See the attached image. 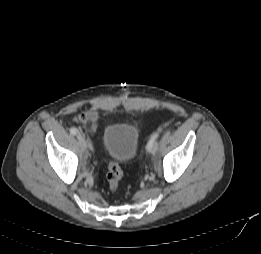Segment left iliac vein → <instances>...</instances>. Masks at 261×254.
Returning <instances> with one entry per match:
<instances>
[{
  "label": "left iliac vein",
  "mask_w": 261,
  "mask_h": 254,
  "mask_svg": "<svg viewBox=\"0 0 261 254\" xmlns=\"http://www.w3.org/2000/svg\"><path fill=\"white\" fill-rule=\"evenodd\" d=\"M157 149H158V144L155 143V144L153 145V148H152V150H151V153H152V154H155V153L157 152Z\"/></svg>",
  "instance_id": "1"
}]
</instances>
